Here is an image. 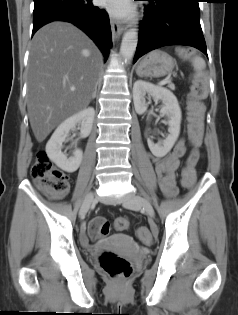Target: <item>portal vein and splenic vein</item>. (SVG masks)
Instances as JSON below:
<instances>
[{"label":"portal vein and splenic vein","mask_w":238,"mask_h":315,"mask_svg":"<svg viewBox=\"0 0 238 315\" xmlns=\"http://www.w3.org/2000/svg\"><path fill=\"white\" fill-rule=\"evenodd\" d=\"M170 77H167V78H165L164 80H162L160 83H159V85H165V84H167V83H170ZM70 90L71 91H74L75 90V87H71L70 88Z\"/></svg>","instance_id":"portal-vein-and-splenic-vein-1"}]
</instances>
